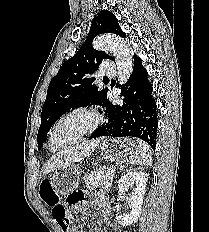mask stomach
<instances>
[{"instance_id":"1","label":"stomach","mask_w":209,"mask_h":232,"mask_svg":"<svg viewBox=\"0 0 209 232\" xmlns=\"http://www.w3.org/2000/svg\"><path fill=\"white\" fill-rule=\"evenodd\" d=\"M135 148V143L129 138H108L102 140L100 153L103 159L116 161L132 155ZM81 182L80 171L74 165L57 169L51 178L54 191L63 195L70 193V190L77 189Z\"/></svg>"}]
</instances>
